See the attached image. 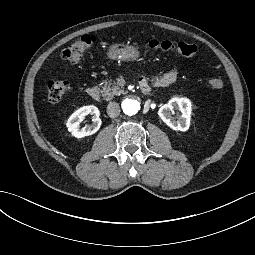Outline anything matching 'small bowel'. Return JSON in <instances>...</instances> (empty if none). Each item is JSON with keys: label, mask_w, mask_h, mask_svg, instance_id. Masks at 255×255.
Here are the masks:
<instances>
[{"label": "small bowel", "mask_w": 255, "mask_h": 255, "mask_svg": "<svg viewBox=\"0 0 255 255\" xmlns=\"http://www.w3.org/2000/svg\"><path fill=\"white\" fill-rule=\"evenodd\" d=\"M177 74H178L177 69L172 68L159 78L155 79V84L159 87H166L176 80Z\"/></svg>", "instance_id": "1"}]
</instances>
